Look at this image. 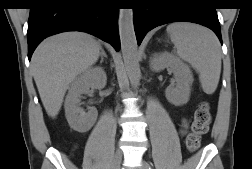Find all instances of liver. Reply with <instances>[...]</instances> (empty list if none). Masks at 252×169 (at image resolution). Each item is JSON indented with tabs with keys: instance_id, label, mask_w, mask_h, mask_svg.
Wrapping results in <instances>:
<instances>
[{
	"instance_id": "1",
	"label": "liver",
	"mask_w": 252,
	"mask_h": 169,
	"mask_svg": "<svg viewBox=\"0 0 252 169\" xmlns=\"http://www.w3.org/2000/svg\"><path fill=\"white\" fill-rule=\"evenodd\" d=\"M101 51L100 41L79 32L55 35L40 44L32 60L34 79L49 116L58 115L70 83L98 61Z\"/></svg>"
}]
</instances>
